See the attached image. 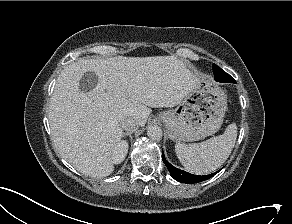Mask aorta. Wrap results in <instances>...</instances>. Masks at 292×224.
Returning a JSON list of instances; mask_svg holds the SVG:
<instances>
[{"label": "aorta", "mask_w": 292, "mask_h": 224, "mask_svg": "<svg viewBox=\"0 0 292 224\" xmlns=\"http://www.w3.org/2000/svg\"><path fill=\"white\" fill-rule=\"evenodd\" d=\"M162 129L157 125H151L147 129V135L153 140H160L162 138Z\"/></svg>", "instance_id": "762f6f07"}]
</instances>
